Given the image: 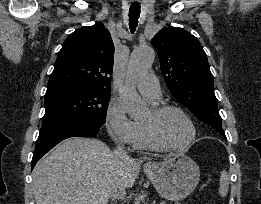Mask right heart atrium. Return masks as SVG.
<instances>
[{
  "label": "right heart atrium",
  "mask_w": 261,
  "mask_h": 204,
  "mask_svg": "<svg viewBox=\"0 0 261 204\" xmlns=\"http://www.w3.org/2000/svg\"><path fill=\"white\" fill-rule=\"evenodd\" d=\"M105 127L115 142L123 145L133 144L135 122L126 114L121 102L116 99H111L107 105Z\"/></svg>",
  "instance_id": "d8ad5b80"
}]
</instances>
